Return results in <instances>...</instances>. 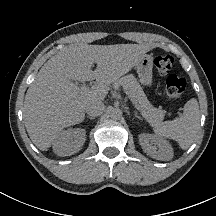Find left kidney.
<instances>
[{"mask_svg":"<svg viewBox=\"0 0 216 216\" xmlns=\"http://www.w3.org/2000/svg\"><path fill=\"white\" fill-rule=\"evenodd\" d=\"M139 142L143 151L158 160H170L173 157V148L164 138L142 133L139 135Z\"/></svg>","mask_w":216,"mask_h":216,"instance_id":"5707ae66","label":"left kidney"}]
</instances>
